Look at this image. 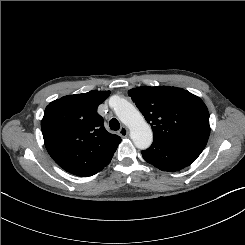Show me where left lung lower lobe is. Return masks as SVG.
I'll return each mask as SVG.
<instances>
[{"mask_svg":"<svg viewBox=\"0 0 245 245\" xmlns=\"http://www.w3.org/2000/svg\"><path fill=\"white\" fill-rule=\"evenodd\" d=\"M199 155L197 151L157 139H154L150 148L142 151V156L148 163L169 172L189 166Z\"/></svg>","mask_w":245,"mask_h":245,"instance_id":"0a47b994","label":"left lung lower lobe"}]
</instances>
